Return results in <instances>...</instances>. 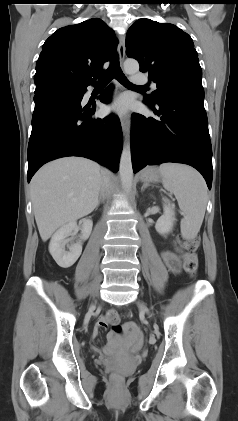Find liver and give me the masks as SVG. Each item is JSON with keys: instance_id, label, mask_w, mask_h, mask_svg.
Wrapping results in <instances>:
<instances>
[{"instance_id": "liver-1", "label": "liver", "mask_w": 238, "mask_h": 421, "mask_svg": "<svg viewBox=\"0 0 238 421\" xmlns=\"http://www.w3.org/2000/svg\"><path fill=\"white\" fill-rule=\"evenodd\" d=\"M101 178L100 166L80 157L54 160L38 170L31 180V200L44 242L59 227L95 209Z\"/></svg>"}]
</instances>
